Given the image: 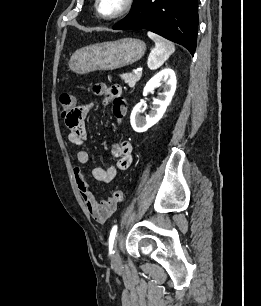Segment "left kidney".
<instances>
[{
	"label": "left kidney",
	"instance_id": "5707ae66",
	"mask_svg": "<svg viewBox=\"0 0 261 306\" xmlns=\"http://www.w3.org/2000/svg\"><path fill=\"white\" fill-rule=\"evenodd\" d=\"M176 76L172 69H164L152 77L144 87L143 95L152 92L156 86H162L163 92L153 101L154 107L149 115L141 117L143 103H138L131 113L130 122L134 131L141 133L155 125L164 115L176 90Z\"/></svg>",
	"mask_w": 261,
	"mask_h": 306
}]
</instances>
